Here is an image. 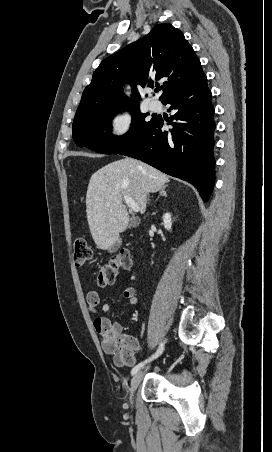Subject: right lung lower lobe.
Returning <instances> with one entry per match:
<instances>
[{"label": "right lung lower lobe", "instance_id": "obj_1", "mask_svg": "<svg viewBox=\"0 0 272 452\" xmlns=\"http://www.w3.org/2000/svg\"><path fill=\"white\" fill-rule=\"evenodd\" d=\"M211 98L204 76L162 102L171 104L172 129L165 131L163 119L156 117L141 138L119 154L136 158L166 174L188 181L207 202L215 176V122Z\"/></svg>", "mask_w": 272, "mask_h": 452}]
</instances>
